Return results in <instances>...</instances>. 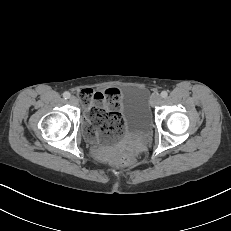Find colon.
I'll return each instance as SVG.
<instances>
[{
	"instance_id": "5ec220e1",
	"label": "colon",
	"mask_w": 231,
	"mask_h": 231,
	"mask_svg": "<svg viewBox=\"0 0 231 231\" xmlns=\"http://www.w3.org/2000/svg\"><path fill=\"white\" fill-rule=\"evenodd\" d=\"M120 92L116 88L106 90L103 94L84 92L81 94V102L87 107V118L99 131L102 138L108 139L117 136L123 129L124 119L117 110L119 106ZM107 102L113 109L107 110L101 106V102ZM111 154L120 165H130L129 156L119 147L112 146Z\"/></svg>"
}]
</instances>
